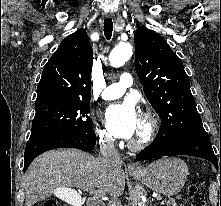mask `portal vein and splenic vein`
Listing matches in <instances>:
<instances>
[{"label": "portal vein and splenic vein", "instance_id": "1", "mask_svg": "<svg viewBox=\"0 0 221 206\" xmlns=\"http://www.w3.org/2000/svg\"><path fill=\"white\" fill-rule=\"evenodd\" d=\"M90 194H92V195H94L95 197H97V198H100V199H104V197H105V194L102 192V191H100V190H96V189H94V188H90V189H88L87 190ZM157 200H162V198L161 197H158L157 198Z\"/></svg>", "mask_w": 221, "mask_h": 206}]
</instances>
